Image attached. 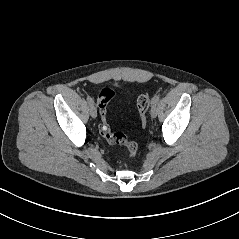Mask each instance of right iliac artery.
Returning a JSON list of instances; mask_svg holds the SVG:
<instances>
[{
	"mask_svg": "<svg viewBox=\"0 0 239 239\" xmlns=\"http://www.w3.org/2000/svg\"><path fill=\"white\" fill-rule=\"evenodd\" d=\"M87 101H88L89 105H93L94 104V101H93V99L90 96H87Z\"/></svg>",
	"mask_w": 239,
	"mask_h": 239,
	"instance_id": "82829eb1",
	"label": "right iliac artery"
}]
</instances>
